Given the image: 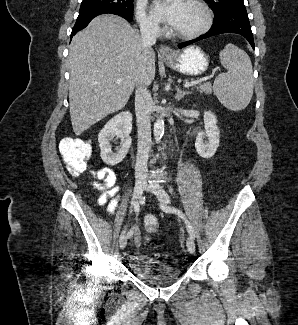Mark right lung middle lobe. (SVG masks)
<instances>
[{"mask_svg": "<svg viewBox=\"0 0 298 325\" xmlns=\"http://www.w3.org/2000/svg\"><path fill=\"white\" fill-rule=\"evenodd\" d=\"M101 12H115L133 16V0H83L78 18H85Z\"/></svg>", "mask_w": 298, "mask_h": 325, "instance_id": "dd1d6c3e", "label": "right lung middle lobe"}]
</instances>
